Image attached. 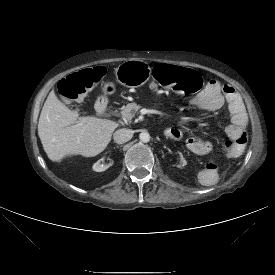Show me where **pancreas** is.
I'll list each match as a JSON object with an SVG mask.
<instances>
[{
    "label": "pancreas",
    "mask_w": 275,
    "mask_h": 275,
    "mask_svg": "<svg viewBox=\"0 0 275 275\" xmlns=\"http://www.w3.org/2000/svg\"><path fill=\"white\" fill-rule=\"evenodd\" d=\"M141 108V105L136 103H129L120 111L121 116L125 121L131 122L136 112Z\"/></svg>",
    "instance_id": "obj_1"
}]
</instances>
